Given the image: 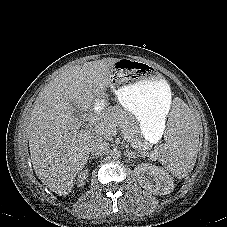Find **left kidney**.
Returning a JSON list of instances; mask_svg holds the SVG:
<instances>
[{
	"mask_svg": "<svg viewBox=\"0 0 227 227\" xmlns=\"http://www.w3.org/2000/svg\"><path fill=\"white\" fill-rule=\"evenodd\" d=\"M134 173L140 186L154 195H167L174 190L173 178L161 167L142 163L135 167Z\"/></svg>",
	"mask_w": 227,
	"mask_h": 227,
	"instance_id": "obj_1",
	"label": "left kidney"
}]
</instances>
